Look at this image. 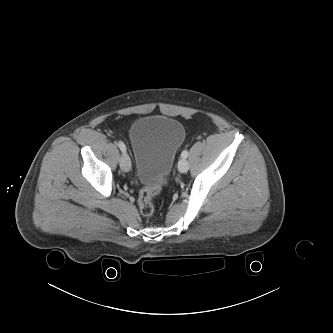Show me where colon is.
<instances>
[{
  "label": "colon",
  "instance_id": "colon-1",
  "mask_svg": "<svg viewBox=\"0 0 333 333\" xmlns=\"http://www.w3.org/2000/svg\"><path fill=\"white\" fill-rule=\"evenodd\" d=\"M165 184L166 181L159 185L145 187L140 191L138 205L140 213L143 216L149 217L153 215L156 206L160 204V201L156 198L161 193Z\"/></svg>",
  "mask_w": 333,
  "mask_h": 333
}]
</instances>
